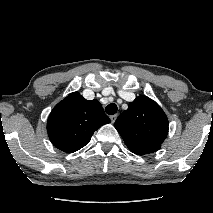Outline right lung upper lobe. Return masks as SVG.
Returning a JSON list of instances; mask_svg holds the SVG:
<instances>
[{
    "instance_id": "cb5924a9",
    "label": "right lung upper lobe",
    "mask_w": 213,
    "mask_h": 213,
    "mask_svg": "<svg viewBox=\"0 0 213 213\" xmlns=\"http://www.w3.org/2000/svg\"><path fill=\"white\" fill-rule=\"evenodd\" d=\"M109 122L98 100L89 101L73 92L53 108L47 131L56 148L73 153L88 144L94 131Z\"/></svg>"
}]
</instances>
